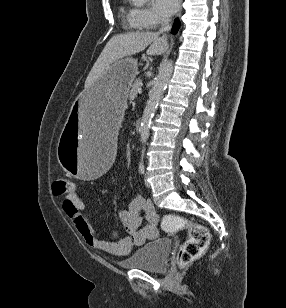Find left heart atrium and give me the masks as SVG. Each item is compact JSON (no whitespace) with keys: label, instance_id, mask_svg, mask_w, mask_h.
I'll return each mask as SVG.
<instances>
[{"label":"left heart atrium","instance_id":"39dd6f15","mask_svg":"<svg viewBox=\"0 0 286 308\" xmlns=\"http://www.w3.org/2000/svg\"><path fill=\"white\" fill-rule=\"evenodd\" d=\"M178 2L179 0H153L152 5L160 16L167 18L176 12Z\"/></svg>","mask_w":286,"mask_h":308}]
</instances>
